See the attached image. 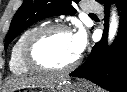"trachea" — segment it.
Masks as SVG:
<instances>
[{
	"mask_svg": "<svg viewBox=\"0 0 127 92\" xmlns=\"http://www.w3.org/2000/svg\"><path fill=\"white\" fill-rule=\"evenodd\" d=\"M89 16H96L95 14H89Z\"/></svg>",
	"mask_w": 127,
	"mask_h": 92,
	"instance_id": "obj_1",
	"label": "trachea"
}]
</instances>
